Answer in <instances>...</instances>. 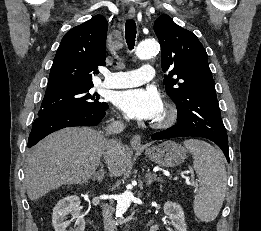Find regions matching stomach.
<instances>
[{"instance_id": "0dacf381", "label": "stomach", "mask_w": 261, "mask_h": 231, "mask_svg": "<svg viewBox=\"0 0 261 231\" xmlns=\"http://www.w3.org/2000/svg\"><path fill=\"white\" fill-rule=\"evenodd\" d=\"M155 164L163 167H175L181 164L186 158V149L173 141H165L159 145L138 149Z\"/></svg>"}]
</instances>
